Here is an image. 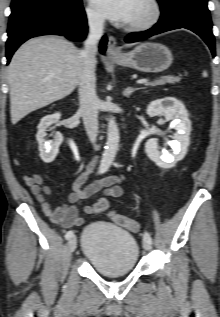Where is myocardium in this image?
<instances>
[{"instance_id": "obj_1", "label": "myocardium", "mask_w": 220, "mask_h": 317, "mask_svg": "<svg viewBox=\"0 0 220 317\" xmlns=\"http://www.w3.org/2000/svg\"><path fill=\"white\" fill-rule=\"evenodd\" d=\"M145 2L150 9L149 15L143 20L126 24L124 26L125 30L130 32L145 31L154 27L159 22L162 16V6L159 0H145Z\"/></svg>"}]
</instances>
